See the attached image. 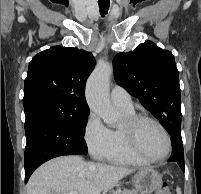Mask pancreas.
Listing matches in <instances>:
<instances>
[{
	"instance_id": "obj_1",
	"label": "pancreas",
	"mask_w": 201,
	"mask_h": 194,
	"mask_svg": "<svg viewBox=\"0 0 201 194\" xmlns=\"http://www.w3.org/2000/svg\"><path fill=\"white\" fill-rule=\"evenodd\" d=\"M122 194H138L136 190H125Z\"/></svg>"
}]
</instances>
